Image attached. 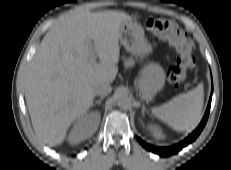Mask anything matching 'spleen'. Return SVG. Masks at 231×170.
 Listing matches in <instances>:
<instances>
[{"label":"spleen","mask_w":231,"mask_h":170,"mask_svg":"<svg viewBox=\"0 0 231 170\" xmlns=\"http://www.w3.org/2000/svg\"><path fill=\"white\" fill-rule=\"evenodd\" d=\"M204 101L203 86L180 94L169 102L152 108V113L177 131H188L195 128L201 120Z\"/></svg>","instance_id":"obj_1"}]
</instances>
